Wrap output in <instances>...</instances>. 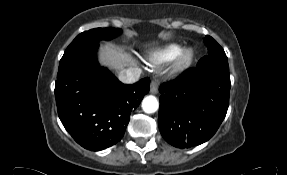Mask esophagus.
I'll list each match as a JSON object with an SVG mask.
<instances>
[{
    "instance_id": "34e87169",
    "label": "esophagus",
    "mask_w": 287,
    "mask_h": 175,
    "mask_svg": "<svg viewBox=\"0 0 287 175\" xmlns=\"http://www.w3.org/2000/svg\"><path fill=\"white\" fill-rule=\"evenodd\" d=\"M159 81L153 80L150 84V93L156 94L158 92Z\"/></svg>"
}]
</instances>
